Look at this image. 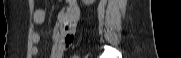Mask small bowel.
Returning <instances> with one entry per match:
<instances>
[{
    "label": "small bowel",
    "mask_w": 181,
    "mask_h": 58,
    "mask_svg": "<svg viewBox=\"0 0 181 58\" xmlns=\"http://www.w3.org/2000/svg\"><path fill=\"white\" fill-rule=\"evenodd\" d=\"M46 13L43 9H36L33 13L35 24H42L45 21ZM80 18V8L76 0H66L65 6L58 15L57 23L53 30V47L51 58H61L64 52L72 45L76 31L77 22ZM34 43L32 54L36 56L39 53L37 46L40 41L38 32L32 35Z\"/></svg>",
    "instance_id": "small-bowel-1"
}]
</instances>
